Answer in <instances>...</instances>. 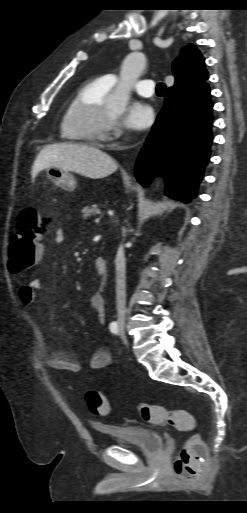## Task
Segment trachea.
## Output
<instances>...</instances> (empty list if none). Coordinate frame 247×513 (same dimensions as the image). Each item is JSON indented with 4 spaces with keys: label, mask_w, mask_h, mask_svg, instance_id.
<instances>
[{
    "label": "trachea",
    "mask_w": 247,
    "mask_h": 513,
    "mask_svg": "<svg viewBox=\"0 0 247 513\" xmlns=\"http://www.w3.org/2000/svg\"><path fill=\"white\" fill-rule=\"evenodd\" d=\"M165 84L164 83H158L157 84V87H156V91H157V94L158 95H163L164 93V90H165Z\"/></svg>",
    "instance_id": "obj_1"
}]
</instances>
